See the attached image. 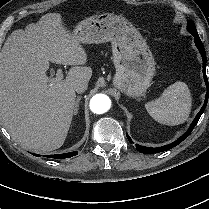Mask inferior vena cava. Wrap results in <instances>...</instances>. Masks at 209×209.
<instances>
[{"label":"inferior vena cava","mask_w":209,"mask_h":209,"mask_svg":"<svg viewBox=\"0 0 209 209\" xmlns=\"http://www.w3.org/2000/svg\"><path fill=\"white\" fill-rule=\"evenodd\" d=\"M88 88V82H79L76 86H75V91L80 94L83 93L85 90H87Z\"/></svg>","instance_id":"1"}]
</instances>
